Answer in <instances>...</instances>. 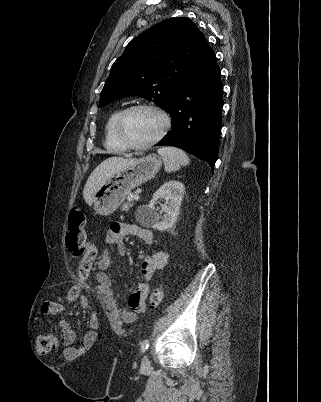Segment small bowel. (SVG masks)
<instances>
[{
	"instance_id": "c3829d8e",
	"label": "small bowel",
	"mask_w": 321,
	"mask_h": 402,
	"mask_svg": "<svg viewBox=\"0 0 321 402\" xmlns=\"http://www.w3.org/2000/svg\"><path fill=\"white\" fill-rule=\"evenodd\" d=\"M127 236H133L142 240L145 244H152L154 241V235L151 230L141 227L135 223H123L115 222L111 225L108 231L105 241L107 245L116 248L119 255H124L126 247L124 244V238ZM112 256L108 250L103 251L96 261V274L95 278L97 283L102 286L109 293H113L112 282L109 276L104 270L111 264ZM168 263V254L164 251H158L153 254L147 255L141 264V274L143 280L137 285L133 293L129 297V308H123L121 312V318L124 323H133L137 320V317L143 310H135L131 307L130 303L139 299L145 300L148 295V282L154 276V274L163 269ZM94 305L91 302H84L82 309L84 311L93 310ZM66 310L65 306L60 302L48 301L44 302L41 306V313L43 315H57ZM92 328L98 327L97 321L91 322ZM59 327L62 332L64 343V356L67 359L83 358L84 353H88L89 347L96 345V332L95 330H84L82 344L74 345L75 343V329L71 322L67 320H61Z\"/></svg>"
}]
</instances>
